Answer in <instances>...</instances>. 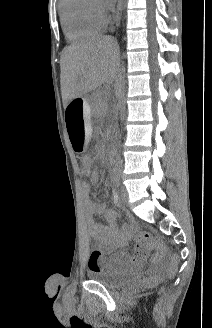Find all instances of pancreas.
Wrapping results in <instances>:
<instances>
[{"label":"pancreas","instance_id":"1","mask_svg":"<svg viewBox=\"0 0 212 328\" xmlns=\"http://www.w3.org/2000/svg\"><path fill=\"white\" fill-rule=\"evenodd\" d=\"M94 111L98 114L105 115L108 104L105 91H98L94 98Z\"/></svg>","mask_w":212,"mask_h":328}]
</instances>
